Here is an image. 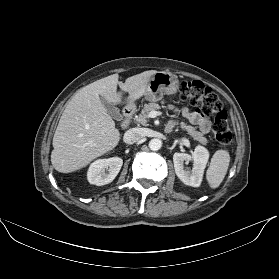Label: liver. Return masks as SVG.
<instances>
[{"mask_svg": "<svg viewBox=\"0 0 279 279\" xmlns=\"http://www.w3.org/2000/svg\"><path fill=\"white\" fill-rule=\"evenodd\" d=\"M158 71L149 70L126 79L120 84L134 103L141 98L148 82ZM118 74L97 80L76 93L65 108L53 137L51 162L61 173H70L87 166L92 160L114 149L120 132L101 102L104 97L113 104L122 103L117 91Z\"/></svg>", "mask_w": 279, "mask_h": 279, "instance_id": "liver-1", "label": "liver"}]
</instances>
